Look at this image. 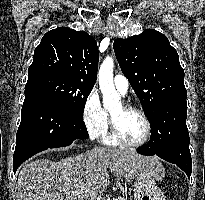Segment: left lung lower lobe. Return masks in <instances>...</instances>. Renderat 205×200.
I'll return each mask as SVG.
<instances>
[{
    "label": "left lung lower lobe",
    "instance_id": "left-lung-lower-lobe-1",
    "mask_svg": "<svg viewBox=\"0 0 205 200\" xmlns=\"http://www.w3.org/2000/svg\"><path fill=\"white\" fill-rule=\"evenodd\" d=\"M186 98H177L165 103L155 113L151 124L149 142L137 152L143 155H156L176 164L190 178L192 158L189 150V133L186 125Z\"/></svg>",
    "mask_w": 205,
    "mask_h": 200
}]
</instances>
